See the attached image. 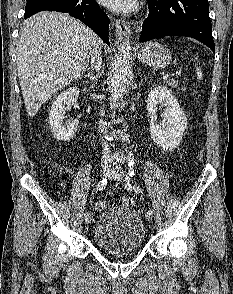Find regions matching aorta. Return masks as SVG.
I'll return each instance as SVG.
<instances>
[{"label":"aorta","instance_id":"aorta-1","mask_svg":"<svg viewBox=\"0 0 233 294\" xmlns=\"http://www.w3.org/2000/svg\"><path fill=\"white\" fill-rule=\"evenodd\" d=\"M130 61H131V44L129 41L123 42L118 48L115 55L112 69V78L110 84L111 91V108L123 97L127 82L130 77ZM128 161L133 164L132 154H129Z\"/></svg>","mask_w":233,"mask_h":294}]
</instances>
